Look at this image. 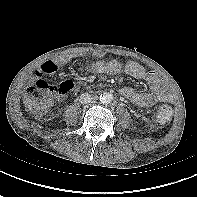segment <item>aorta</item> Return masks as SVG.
<instances>
[{
  "label": "aorta",
  "mask_w": 197,
  "mask_h": 197,
  "mask_svg": "<svg viewBox=\"0 0 197 197\" xmlns=\"http://www.w3.org/2000/svg\"><path fill=\"white\" fill-rule=\"evenodd\" d=\"M99 100L102 104H109L113 100V95L110 92H103Z\"/></svg>",
  "instance_id": "aorta-1"
}]
</instances>
